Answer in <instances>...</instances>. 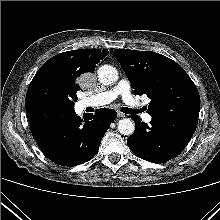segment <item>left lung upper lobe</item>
<instances>
[{
	"label": "left lung upper lobe",
	"mask_w": 220,
	"mask_h": 220,
	"mask_svg": "<svg viewBox=\"0 0 220 220\" xmlns=\"http://www.w3.org/2000/svg\"><path fill=\"white\" fill-rule=\"evenodd\" d=\"M114 55L133 85L134 94H146L147 112L200 110L198 90L185 70L172 59L152 51L115 49Z\"/></svg>",
	"instance_id": "obj_1"
}]
</instances>
